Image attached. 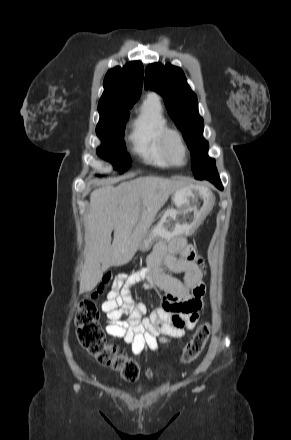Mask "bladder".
I'll list each match as a JSON object with an SVG mask.
<instances>
[{"instance_id":"bladder-1","label":"bladder","mask_w":291,"mask_h":440,"mask_svg":"<svg viewBox=\"0 0 291 440\" xmlns=\"http://www.w3.org/2000/svg\"><path fill=\"white\" fill-rule=\"evenodd\" d=\"M139 393H140V391H133V392H132L133 395H137V394H139Z\"/></svg>"}]
</instances>
